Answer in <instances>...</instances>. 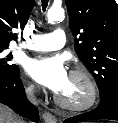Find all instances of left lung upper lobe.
I'll list each match as a JSON object with an SVG mask.
<instances>
[{
    "mask_svg": "<svg viewBox=\"0 0 118 123\" xmlns=\"http://www.w3.org/2000/svg\"><path fill=\"white\" fill-rule=\"evenodd\" d=\"M75 51L104 100L118 88V5L115 0H66Z\"/></svg>",
    "mask_w": 118,
    "mask_h": 123,
    "instance_id": "left-lung-upper-lobe-1",
    "label": "left lung upper lobe"
}]
</instances>
